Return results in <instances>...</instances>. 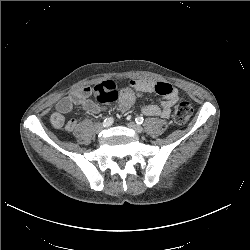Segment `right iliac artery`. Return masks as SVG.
Returning <instances> with one entry per match:
<instances>
[{
    "instance_id": "1",
    "label": "right iliac artery",
    "mask_w": 250,
    "mask_h": 250,
    "mask_svg": "<svg viewBox=\"0 0 250 250\" xmlns=\"http://www.w3.org/2000/svg\"><path fill=\"white\" fill-rule=\"evenodd\" d=\"M113 123V118L112 117H109V118H106L103 122V125L108 127L110 126L111 124Z\"/></svg>"
}]
</instances>
